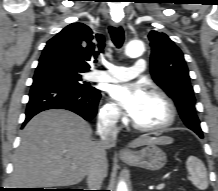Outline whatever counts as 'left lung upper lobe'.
<instances>
[{"label":"left lung upper lobe","mask_w":218,"mask_h":191,"mask_svg":"<svg viewBox=\"0 0 218 191\" xmlns=\"http://www.w3.org/2000/svg\"><path fill=\"white\" fill-rule=\"evenodd\" d=\"M148 38L152 49L150 60L153 80L174 100L185 125L203 136L183 53L165 33L151 31Z\"/></svg>","instance_id":"5c2ea615"}]
</instances>
